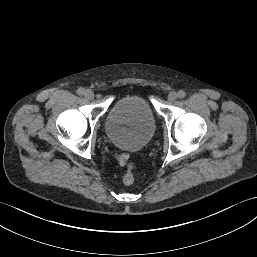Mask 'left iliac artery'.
<instances>
[{
    "label": "left iliac artery",
    "mask_w": 257,
    "mask_h": 257,
    "mask_svg": "<svg viewBox=\"0 0 257 257\" xmlns=\"http://www.w3.org/2000/svg\"><path fill=\"white\" fill-rule=\"evenodd\" d=\"M178 98L182 99L186 96V93L183 90H180L177 94Z\"/></svg>",
    "instance_id": "obj_1"
}]
</instances>
